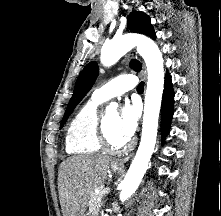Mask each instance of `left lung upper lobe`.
Instances as JSON below:
<instances>
[{"instance_id": "obj_1", "label": "left lung upper lobe", "mask_w": 221, "mask_h": 216, "mask_svg": "<svg viewBox=\"0 0 221 216\" xmlns=\"http://www.w3.org/2000/svg\"><path fill=\"white\" fill-rule=\"evenodd\" d=\"M128 28L131 32L141 33L149 36L152 39L156 38L153 26L149 17L140 11H133L128 16ZM130 67L136 71H140L141 64L132 60ZM98 65L96 62L88 63L79 74L76 81L73 95L67 105L64 117L61 122V127L67 121L69 115L72 113L76 105L84 98L87 92L91 89L98 76Z\"/></svg>"}]
</instances>
